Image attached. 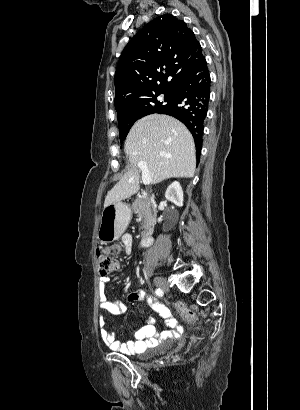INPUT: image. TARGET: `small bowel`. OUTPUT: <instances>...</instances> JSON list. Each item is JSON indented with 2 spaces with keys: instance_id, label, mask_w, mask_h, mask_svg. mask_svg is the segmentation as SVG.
Segmentation results:
<instances>
[{
  "instance_id": "small-bowel-1",
  "label": "small bowel",
  "mask_w": 300,
  "mask_h": 410,
  "mask_svg": "<svg viewBox=\"0 0 300 410\" xmlns=\"http://www.w3.org/2000/svg\"><path fill=\"white\" fill-rule=\"evenodd\" d=\"M111 281L110 276H100L99 278V307L114 315L124 314L127 304H132L136 300H145L149 307L159 313L164 319L166 330L158 334L153 319H145L142 325L135 331V340L120 342L116 340L115 334L106 328L104 318L99 319L100 337L102 341L112 350L122 354H135L147 348L155 346L161 339L171 338L178 334V323L172 317L166 306L154 300L143 290H137L127 296L126 302L122 300H109L105 295V286Z\"/></svg>"
}]
</instances>
